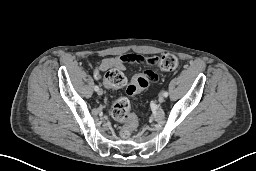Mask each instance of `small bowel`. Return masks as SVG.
<instances>
[{"mask_svg": "<svg viewBox=\"0 0 256 171\" xmlns=\"http://www.w3.org/2000/svg\"><path fill=\"white\" fill-rule=\"evenodd\" d=\"M156 57L155 56H143V55H138V54H125L119 57H109L103 59L101 64L98 66V68L94 71V76L97 79L101 78L100 71L102 72H107L112 69H117V70H122L125 67V64L127 63H146V64H153L155 61ZM143 74L148 81H153L156 82L158 81V76L155 72L152 70H147Z\"/></svg>", "mask_w": 256, "mask_h": 171, "instance_id": "obj_1", "label": "small bowel"}]
</instances>
